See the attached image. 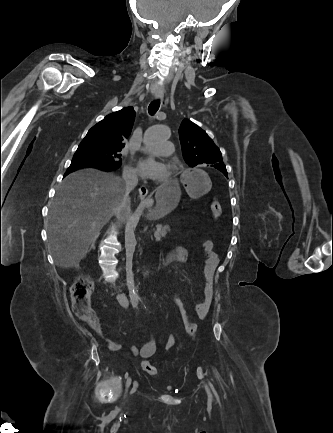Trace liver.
Returning <instances> with one entry per match:
<instances>
[{
  "label": "liver",
  "mask_w": 333,
  "mask_h": 433,
  "mask_svg": "<svg viewBox=\"0 0 333 433\" xmlns=\"http://www.w3.org/2000/svg\"><path fill=\"white\" fill-rule=\"evenodd\" d=\"M179 183H160L156 205L146 218L155 221L173 209ZM130 208L124 181L112 173L87 168L69 174L49 204L48 242L55 263L62 268L78 267L100 230L110 218Z\"/></svg>",
  "instance_id": "1"
}]
</instances>
